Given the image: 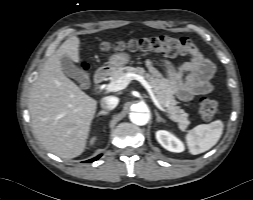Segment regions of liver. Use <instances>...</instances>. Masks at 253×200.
Segmentation results:
<instances>
[{"instance_id": "obj_1", "label": "liver", "mask_w": 253, "mask_h": 200, "mask_svg": "<svg viewBox=\"0 0 253 200\" xmlns=\"http://www.w3.org/2000/svg\"><path fill=\"white\" fill-rule=\"evenodd\" d=\"M80 40L72 36L45 62L32 84L28 109L34 134L53 154L71 159L85 150L97 101L67 78L61 58L80 61Z\"/></svg>"}]
</instances>
